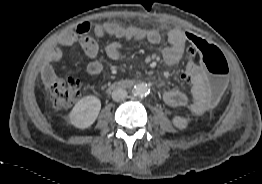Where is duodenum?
Masks as SVG:
<instances>
[{
    "label": "duodenum",
    "mask_w": 262,
    "mask_h": 184,
    "mask_svg": "<svg viewBox=\"0 0 262 184\" xmlns=\"http://www.w3.org/2000/svg\"><path fill=\"white\" fill-rule=\"evenodd\" d=\"M135 82L134 81H127V82H121L118 86H131L134 85Z\"/></svg>",
    "instance_id": "obj_1"
}]
</instances>
